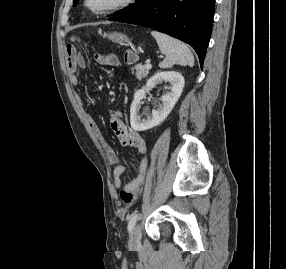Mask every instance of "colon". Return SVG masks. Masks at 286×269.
Wrapping results in <instances>:
<instances>
[{
	"label": "colon",
	"mask_w": 286,
	"mask_h": 269,
	"mask_svg": "<svg viewBox=\"0 0 286 269\" xmlns=\"http://www.w3.org/2000/svg\"><path fill=\"white\" fill-rule=\"evenodd\" d=\"M137 59H140L139 49H125L124 54V66H133L134 62H137ZM122 199L125 202L131 201V193L128 191L121 192Z\"/></svg>",
	"instance_id": "obj_1"
}]
</instances>
